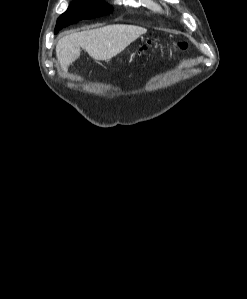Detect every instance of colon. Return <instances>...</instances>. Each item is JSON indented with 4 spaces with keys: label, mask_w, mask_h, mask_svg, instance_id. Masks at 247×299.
<instances>
[{
    "label": "colon",
    "mask_w": 247,
    "mask_h": 299,
    "mask_svg": "<svg viewBox=\"0 0 247 299\" xmlns=\"http://www.w3.org/2000/svg\"><path fill=\"white\" fill-rule=\"evenodd\" d=\"M153 46V43H148L146 45H143L140 49H139V53H144L146 52L149 48H151ZM175 46L177 48H180V49H185L187 47V43L184 42V41H180L178 43L175 44Z\"/></svg>",
    "instance_id": "colon-1"
}]
</instances>
